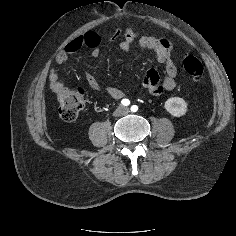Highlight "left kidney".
Returning <instances> with one entry per match:
<instances>
[{
    "label": "left kidney",
    "mask_w": 236,
    "mask_h": 236,
    "mask_svg": "<svg viewBox=\"0 0 236 236\" xmlns=\"http://www.w3.org/2000/svg\"><path fill=\"white\" fill-rule=\"evenodd\" d=\"M164 107L174 117H181L187 112V103L180 97L169 98Z\"/></svg>",
    "instance_id": "obj_1"
}]
</instances>
